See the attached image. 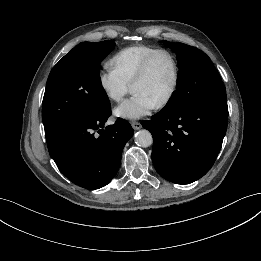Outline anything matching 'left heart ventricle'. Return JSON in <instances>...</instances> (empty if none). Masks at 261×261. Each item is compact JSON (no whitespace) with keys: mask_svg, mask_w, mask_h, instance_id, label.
<instances>
[{"mask_svg":"<svg viewBox=\"0 0 261 261\" xmlns=\"http://www.w3.org/2000/svg\"><path fill=\"white\" fill-rule=\"evenodd\" d=\"M173 81V64L165 55H158L152 62L147 76L132 87V91L140 92L159 103L168 93Z\"/></svg>","mask_w":261,"mask_h":261,"instance_id":"left-heart-ventricle-1","label":"left heart ventricle"}]
</instances>
